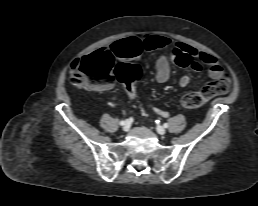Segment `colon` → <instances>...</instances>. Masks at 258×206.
Here are the masks:
<instances>
[{"mask_svg":"<svg viewBox=\"0 0 258 206\" xmlns=\"http://www.w3.org/2000/svg\"><path fill=\"white\" fill-rule=\"evenodd\" d=\"M136 63H114L113 56L97 51L76 59L71 65V81L79 88H88L117 79L130 97L134 95V80L140 75ZM230 89L227 76L206 84L200 91L186 94L182 105L197 108L215 96L226 94Z\"/></svg>","mask_w":258,"mask_h":206,"instance_id":"obj_1","label":"colon"}]
</instances>
